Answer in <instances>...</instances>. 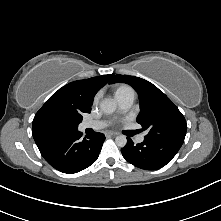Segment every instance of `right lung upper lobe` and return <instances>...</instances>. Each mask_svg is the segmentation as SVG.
Listing matches in <instances>:
<instances>
[{
  "label": "right lung upper lobe",
  "instance_id": "1",
  "mask_svg": "<svg viewBox=\"0 0 221 221\" xmlns=\"http://www.w3.org/2000/svg\"><path fill=\"white\" fill-rule=\"evenodd\" d=\"M113 74L71 82L56 91L36 113L32 124V135L38 145L49 137L60 133L49 131L47 120L62 117L81 121L84 113H90L93 98L106 83H111Z\"/></svg>",
  "mask_w": 221,
  "mask_h": 221
}]
</instances>
